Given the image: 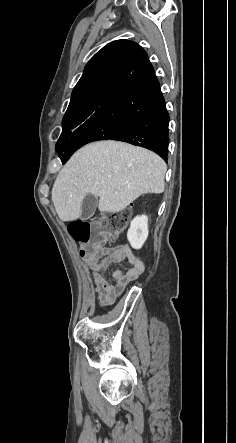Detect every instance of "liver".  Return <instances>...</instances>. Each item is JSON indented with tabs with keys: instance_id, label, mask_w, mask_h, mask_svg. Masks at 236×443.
<instances>
[{
	"instance_id": "6515ba94",
	"label": "liver",
	"mask_w": 236,
	"mask_h": 443,
	"mask_svg": "<svg viewBox=\"0 0 236 443\" xmlns=\"http://www.w3.org/2000/svg\"><path fill=\"white\" fill-rule=\"evenodd\" d=\"M166 163L141 147L112 140L79 149L59 172L52 202L62 221L81 215L86 194L99 197V210L120 212L142 194L164 191Z\"/></svg>"
}]
</instances>
